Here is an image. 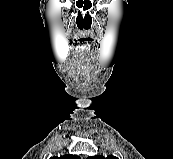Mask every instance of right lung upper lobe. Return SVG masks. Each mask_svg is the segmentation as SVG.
<instances>
[{
	"mask_svg": "<svg viewBox=\"0 0 173 159\" xmlns=\"http://www.w3.org/2000/svg\"><path fill=\"white\" fill-rule=\"evenodd\" d=\"M51 159H80V157H78L76 155L67 154V155H64V156H61V157L54 156Z\"/></svg>",
	"mask_w": 173,
	"mask_h": 159,
	"instance_id": "cb5924a9",
	"label": "right lung upper lobe"
}]
</instances>
